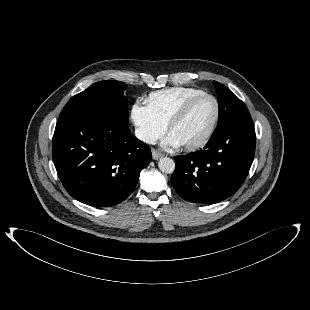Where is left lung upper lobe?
<instances>
[{
	"label": "left lung upper lobe",
	"mask_w": 310,
	"mask_h": 310,
	"mask_svg": "<svg viewBox=\"0 0 310 310\" xmlns=\"http://www.w3.org/2000/svg\"><path fill=\"white\" fill-rule=\"evenodd\" d=\"M214 85L218 95L219 119L212 136L250 118L247 107L234 93L219 82L214 81Z\"/></svg>",
	"instance_id": "left-lung-upper-lobe-1"
}]
</instances>
